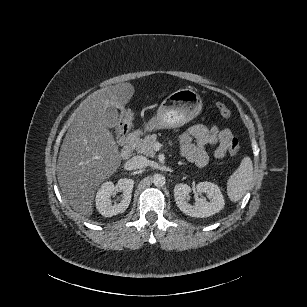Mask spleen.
Returning <instances> with one entry per match:
<instances>
[{
    "instance_id": "3e777b00",
    "label": "spleen",
    "mask_w": 307,
    "mask_h": 307,
    "mask_svg": "<svg viewBox=\"0 0 307 307\" xmlns=\"http://www.w3.org/2000/svg\"><path fill=\"white\" fill-rule=\"evenodd\" d=\"M254 186L253 163L250 157H244L227 181V194L231 201H239Z\"/></svg>"
}]
</instances>
